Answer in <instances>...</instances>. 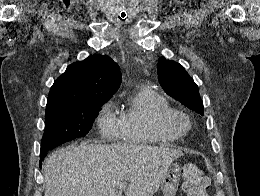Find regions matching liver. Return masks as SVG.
Here are the masks:
<instances>
[{
	"instance_id": "1",
	"label": "liver",
	"mask_w": 260,
	"mask_h": 196,
	"mask_svg": "<svg viewBox=\"0 0 260 196\" xmlns=\"http://www.w3.org/2000/svg\"><path fill=\"white\" fill-rule=\"evenodd\" d=\"M176 146L72 144L49 154L43 166L44 196H154L169 166L182 156Z\"/></svg>"
}]
</instances>
